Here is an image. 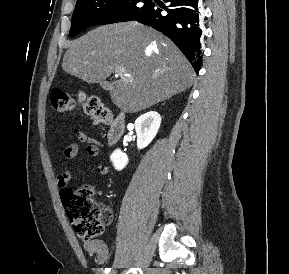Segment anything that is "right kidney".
<instances>
[{"label":"right kidney","mask_w":289,"mask_h":274,"mask_svg":"<svg viewBox=\"0 0 289 274\" xmlns=\"http://www.w3.org/2000/svg\"><path fill=\"white\" fill-rule=\"evenodd\" d=\"M161 124V116L158 112L150 111L139 116L135 121L137 133V148L147 147L155 138ZM116 170H122L128 163V156L120 149H116L110 156Z\"/></svg>","instance_id":"1"}]
</instances>
